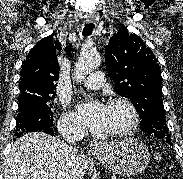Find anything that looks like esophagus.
<instances>
[{
  "instance_id": "1",
  "label": "esophagus",
  "mask_w": 183,
  "mask_h": 179,
  "mask_svg": "<svg viewBox=\"0 0 183 179\" xmlns=\"http://www.w3.org/2000/svg\"><path fill=\"white\" fill-rule=\"evenodd\" d=\"M88 22H91V20H88ZM101 148V144L97 141L92 142L90 144V150L91 152H97Z\"/></svg>"
}]
</instances>
